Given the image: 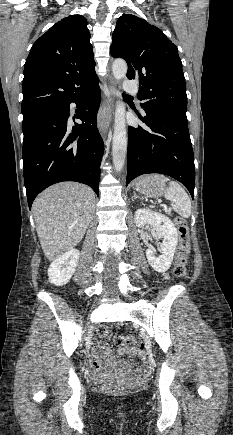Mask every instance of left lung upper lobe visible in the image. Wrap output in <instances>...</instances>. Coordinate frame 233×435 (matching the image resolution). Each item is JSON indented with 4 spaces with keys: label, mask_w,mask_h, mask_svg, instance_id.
Returning <instances> with one entry per match:
<instances>
[{
    "label": "left lung upper lobe",
    "mask_w": 233,
    "mask_h": 435,
    "mask_svg": "<svg viewBox=\"0 0 233 435\" xmlns=\"http://www.w3.org/2000/svg\"><path fill=\"white\" fill-rule=\"evenodd\" d=\"M111 55L128 65L127 78L139 79L144 111L186 115L187 95L177 47L157 27L123 14L112 34Z\"/></svg>",
    "instance_id": "5c2ea615"
}]
</instances>
